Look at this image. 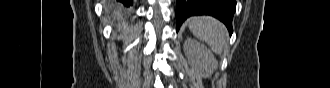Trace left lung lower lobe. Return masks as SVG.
<instances>
[{"instance_id": "1", "label": "left lung lower lobe", "mask_w": 330, "mask_h": 88, "mask_svg": "<svg viewBox=\"0 0 330 88\" xmlns=\"http://www.w3.org/2000/svg\"><path fill=\"white\" fill-rule=\"evenodd\" d=\"M236 9V0H177V32L183 21L193 15H211L222 21L232 35V18Z\"/></svg>"}]
</instances>
